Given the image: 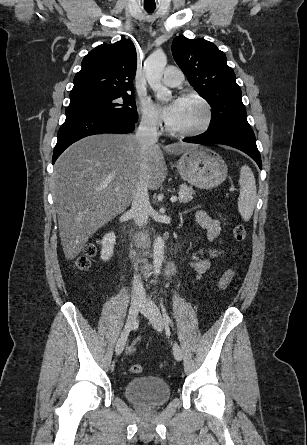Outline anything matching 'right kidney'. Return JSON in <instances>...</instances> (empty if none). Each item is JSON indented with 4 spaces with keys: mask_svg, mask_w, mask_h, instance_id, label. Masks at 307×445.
<instances>
[{
    "mask_svg": "<svg viewBox=\"0 0 307 445\" xmlns=\"http://www.w3.org/2000/svg\"><path fill=\"white\" fill-rule=\"evenodd\" d=\"M115 233H107L105 237H103L102 249H101V259L102 261H109L113 255V249L115 245Z\"/></svg>",
    "mask_w": 307,
    "mask_h": 445,
    "instance_id": "1",
    "label": "right kidney"
}]
</instances>
